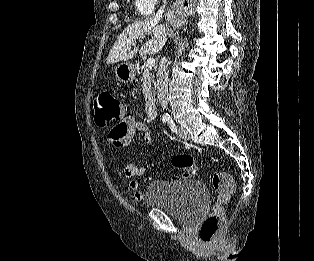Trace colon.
Segmentation results:
<instances>
[{"label":"colon","instance_id":"colon-1","mask_svg":"<svg viewBox=\"0 0 314 261\" xmlns=\"http://www.w3.org/2000/svg\"><path fill=\"white\" fill-rule=\"evenodd\" d=\"M94 110V119L98 127L106 128L115 125L114 129H124L120 126L123 122V105L109 92L102 91L95 96ZM171 164L181 172L183 178H191L198 173L197 163L191 155H175L171 158ZM212 186L217 195L216 202L212 213L205 218L199 227V238L205 243H212L217 240L224 222L223 205L230 200L236 191L235 181L224 171H218L213 175Z\"/></svg>","mask_w":314,"mask_h":261}]
</instances>
